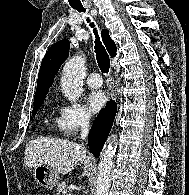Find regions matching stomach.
I'll use <instances>...</instances> for the list:
<instances>
[{"label": "stomach", "instance_id": "obj_1", "mask_svg": "<svg viewBox=\"0 0 189 195\" xmlns=\"http://www.w3.org/2000/svg\"><path fill=\"white\" fill-rule=\"evenodd\" d=\"M33 174L38 184L46 189H52L59 182V175L48 165H40L33 168Z\"/></svg>", "mask_w": 189, "mask_h": 195}]
</instances>
